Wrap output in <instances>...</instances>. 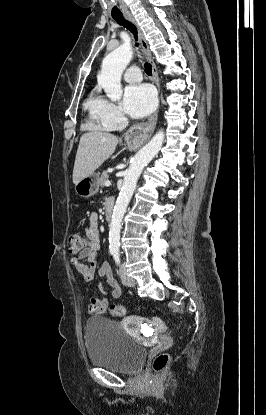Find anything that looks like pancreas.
Instances as JSON below:
<instances>
[{
  "instance_id": "1",
  "label": "pancreas",
  "mask_w": 266,
  "mask_h": 415,
  "mask_svg": "<svg viewBox=\"0 0 266 415\" xmlns=\"http://www.w3.org/2000/svg\"><path fill=\"white\" fill-rule=\"evenodd\" d=\"M107 179H108V172L107 171H103V173H102V175H101V177L99 179V185L101 187L104 186L105 185V182L107 181Z\"/></svg>"
}]
</instances>
